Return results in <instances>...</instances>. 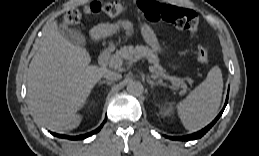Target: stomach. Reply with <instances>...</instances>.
Listing matches in <instances>:
<instances>
[{
    "label": "stomach",
    "mask_w": 259,
    "mask_h": 156,
    "mask_svg": "<svg viewBox=\"0 0 259 156\" xmlns=\"http://www.w3.org/2000/svg\"><path fill=\"white\" fill-rule=\"evenodd\" d=\"M140 28H141V33L144 41L147 43L148 46L151 47L153 52L162 53L164 49L162 45L159 43V41L157 40L153 31L145 25L141 26Z\"/></svg>",
    "instance_id": "1"
}]
</instances>
